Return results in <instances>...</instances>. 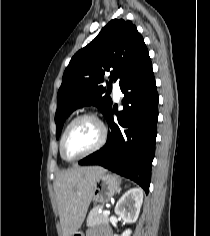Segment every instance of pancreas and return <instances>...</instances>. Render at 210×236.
<instances>
[{
  "label": "pancreas",
  "instance_id": "cf45deb5",
  "mask_svg": "<svg viewBox=\"0 0 210 236\" xmlns=\"http://www.w3.org/2000/svg\"><path fill=\"white\" fill-rule=\"evenodd\" d=\"M103 208L102 205H97L93 207V209L90 211L88 217H87V226L93 227L98 224H108L109 219L108 215H104L103 212L99 213V209Z\"/></svg>",
  "mask_w": 210,
  "mask_h": 236
}]
</instances>
